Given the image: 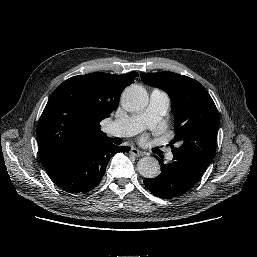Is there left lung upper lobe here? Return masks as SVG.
<instances>
[{
	"label": "left lung upper lobe",
	"mask_w": 257,
	"mask_h": 257,
	"mask_svg": "<svg viewBox=\"0 0 257 257\" xmlns=\"http://www.w3.org/2000/svg\"><path fill=\"white\" fill-rule=\"evenodd\" d=\"M142 81L170 96L174 114L172 151L189 152L211 162L215 155L219 115L207 90L196 80L169 71L142 73Z\"/></svg>",
	"instance_id": "1"
}]
</instances>
